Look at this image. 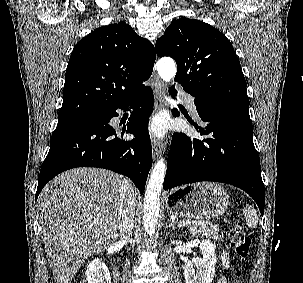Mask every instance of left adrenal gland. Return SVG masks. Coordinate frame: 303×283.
Wrapping results in <instances>:
<instances>
[{
  "mask_svg": "<svg viewBox=\"0 0 303 283\" xmlns=\"http://www.w3.org/2000/svg\"><path fill=\"white\" fill-rule=\"evenodd\" d=\"M175 226H178L180 228V225H178L175 220H170L169 227H175Z\"/></svg>",
  "mask_w": 303,
  "mask_h": 283,
  "instance_id": "a2214340",
  "label": "left adrenal gland"
}]
</instances>
